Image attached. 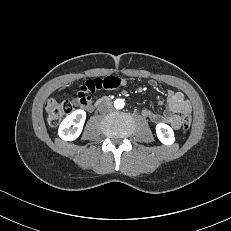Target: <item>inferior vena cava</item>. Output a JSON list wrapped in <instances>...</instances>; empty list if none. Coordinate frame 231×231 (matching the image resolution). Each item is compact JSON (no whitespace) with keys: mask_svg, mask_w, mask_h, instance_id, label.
I'll list each match as a JSON object with an SVG mask.
<instances>
[{"mask_svg":"<svg viewBox=\"0 0 231 231\" xmlns=\"http://www.w3.org/2000/svg\"><path fill=\"white\" fill-rule=\"evenodd\" d=\"M98 110L101 113H106L110 110H112V104L109 101H102L98 105Z\"/></svg>","mask_w":231,"mask_h":231,"instance_id":"1","label":"inferior vena cava"}]
</instances>
